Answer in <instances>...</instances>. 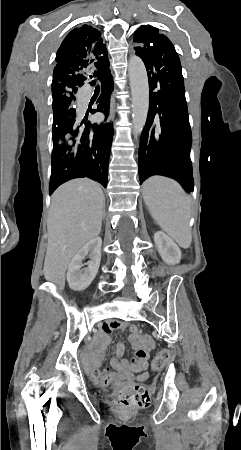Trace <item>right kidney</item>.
I'll list each match as a JSON object with an SVG mask.
<instances>
[{
    "label": "right kidney",
    "instance_id": "right-kidney-1",
    "mask_svg": "<svg viewBox=\"0 0 241 450\" xmlns=\"http://www.w3.org/2000/svg\"><path fill=\"white\" fill-rule=\"evenodd\" d=\"M101 238H93L87 242L68 266L67 282L71 290H86L93 282L101 262ZM89 256L90 262H87L88 268H82V260Z\"/></svg>",
    "mask_w": 241,
    "mask_h": 450
}]
</instances>
